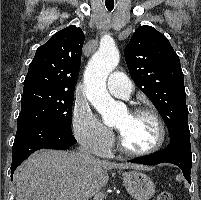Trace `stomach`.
I'll list each match as a JSON object with an SVG mask.
<instances>
[{"label": "stomach", "instance_id": "0dacf381", "mask_svg": "<svg viewBox=\"0 0 201 200\" xmlns=\"http://www.w3.org/2000/svg\"><path fill=\"white\" fill-rule=\"evenodd\" d=\"M123 183L129 194L136 200H149L155 193L151 178L137 170L122 172Z\"/></svg>", "mask_w": 201, "mask_h": 200}]
</instances>
